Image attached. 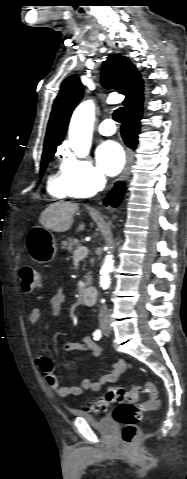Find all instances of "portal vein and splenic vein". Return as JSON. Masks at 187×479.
Returning a JSON list of instances; mask_svg holds the SVG:
<instances>
[{
  "label": "portal vein and splenic vein",
  "instance_id": "18ae733b",
  "mask_svg": "<svg viewBox=\"0 0 187 479\" xmlns=\"http://www.w3.org/2000/svg\"><path fill=\"white\" fill-rule=\"evenodd\" d=\"M89 250L85 246H80L74 251V259L81 260L87 256Z\"/></svg>",
  "mask_w": 187,
  "mask_h": 479
}]
</instances>
